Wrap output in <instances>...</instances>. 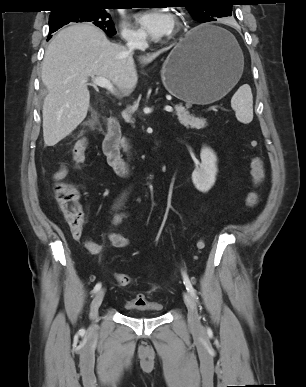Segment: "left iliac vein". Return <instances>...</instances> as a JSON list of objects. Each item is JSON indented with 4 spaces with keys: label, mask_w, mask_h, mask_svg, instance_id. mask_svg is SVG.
I'll return each instance as SVG.
<instances>
[{
    "label": "left iliac vein",
    "mask_w": 306,
    "mask_h": 387,
    "mask_svg": "<svg viewBox=\"0 0 306 387\" xmlns=\"http://www.w3.org/2000/svg\"><path fill=\"white\" fill-rule=\"evenodd\" d=\"M183 298L188 310L187 318H188L189 325L195 330H201L202 325L200 322V317H199L197 306L194 299L188 292L183 293Z\"/></svg>",
    "instance_id": "obj_1"
}]
</instances>
